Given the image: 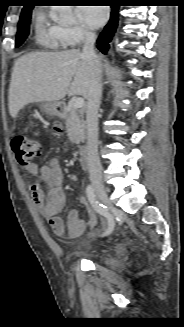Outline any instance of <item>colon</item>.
Wrapping results in <instances>:
<instances>
[{"mask_svg":"<svg viewBox=\"0 0 184 327\" xmlns=\"http://www.w3.org/2000/svg\"><path fill=\"white\" fill-rule=\"evenodd\" d=\"M55 129L60 131L59 127H56ZM11 147L16 155L17 161L22 166L29 165L32 160L41 153L40 143L36 139L29 138L24 134H16L11 141ZM88 213L90 224L95 226L97 224L96 215L90 209L88 210Z\"/></svg>","mask_w":184,"mask_h":327,"instance_id":"1","label":"colon"}]
</instances>
